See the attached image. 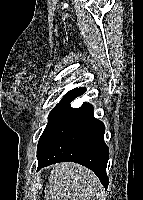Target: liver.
Here are the masks:
<instances>
[{"label": "liver", "instance_id": "obj_1", "mask_svg": "<svg viewBox=\"0 0 143 200\" xmlns=\"http://www.w3.org/2000/svg\"><path fill=\"white\" fill-rule=\"evenodd\" d=\"M98 177L88 168L63 162L53 166L44 190L45 200H103Z\"/></svg>", "mask_w": 143, "mask_h": 200}]
</instances>
